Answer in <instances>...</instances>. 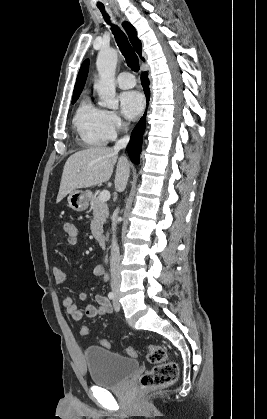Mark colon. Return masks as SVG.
Returning a JSON list of instances; mask_svg holds the SVG:
<instances>
[{
	"mask_svg": "<svg viewBox=\"0 0 267 419\" xmlns=\"http://www.w3.org/2000/svg\"><path fill=\"white\" fill-rule=\"evenodd\" d=\"M66 234V241L69 246H76L79 242L78 228L72 222H66L63 226ZM80 334H89L87 326L80 327ZM101 345L105 348L110 347L107 339L101 340ZM128 354L135 357L137 355L134 348H128ZM147 359L154 367L143 374L140 380L141 388L144 390L157 389L172 385L178 378V366L170 360L165 349L159 345H147Z\"/></svg>",
	"mask_w": 267,
	"mask_h": 419,
	"instance_id": "obj_1",
	"label": "colon"
}]
</instances>
